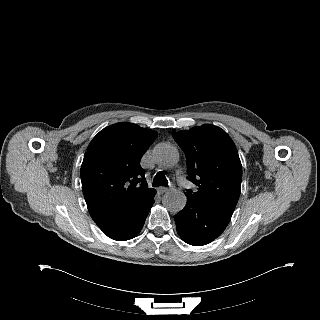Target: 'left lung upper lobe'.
<instances>
[{
  "mask_svg": "<svg viewBox=\"0 0 320 320\" xmlns=\"http://www.w3.org/2000/svg\"><path fill=\"white\" fill-rule=\"evenodd\" d=\"M173 137L186 155L189 180L197 185V190H188L186 196L232 216L242 180V166L232 139L210 124L178 131Z\"/></svg>",
  "mask_w": 320,
  "mask_h": 320,
  "instance_id": "1",
  "label": "left lung upper lobe"
}]
</instances>
